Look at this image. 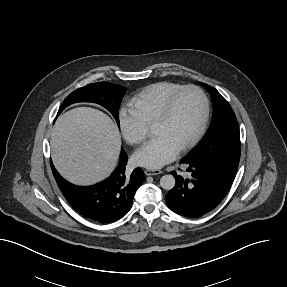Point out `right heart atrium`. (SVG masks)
<instances>
[{
	"label": "right heart atrium",
	"instance_id": "right-heart-atrium-1",
	"mask_svg": "<svg viewBox=\"0 0 287 287\" xmlns=\"http://www.w3.org/2000/svg\"><path fill=\"white\" fill-rule=\"evenodd\" d=\"M118 121L124 139L132 144H141L148 135V126L131 108L123 107L118 114Z\"/></svg>",
	"mask_w": 287,
	"mask_h": 287
}]
</instances>
